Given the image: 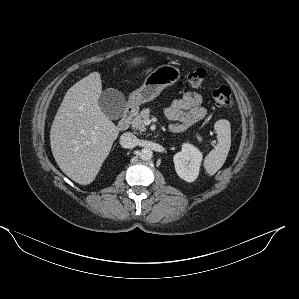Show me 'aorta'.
<instances>
[{
  "mask_svg": "<svg viewBox=\"0 0 299 299\" xmlns=\"http://www.w3.org/2000/svg\"><path fill=\"white\" fill-rule=\"evenodd\" d=\"M153 157V152L149 148H143L140 151V158L142 160L148 161Z\"/></svg>",
  "mask_w": 299,
  "mask_h": 299,
  "instance_id": "1",
  "label": "aorta"
}]
</instances>
